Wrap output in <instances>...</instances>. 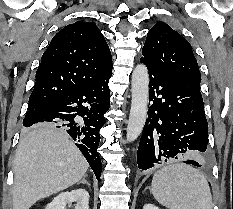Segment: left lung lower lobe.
I'll use <instances>...</instances> for the list:
<instances>
[{"label":"left lung lower lobe","mask_w":233,"mask_h":209,"mask_svg":"<svg viewBox=\"0 0 233 209\" xmlns=\"http://www.w3.org/2000/svg\"><path fill=\"white\" fill-rule=\"evenodd\" d=\"M140 61L149 71L152 103L137 152L139 169L147 170L171 158L184 157L189 150L205 152L208 124L199 86L143 58ZM183 162L201 166L197 160Z\"/></svg>","instance_id":"left-lung-lower-lobe-1"}]
</instances>
